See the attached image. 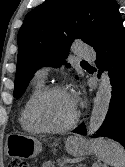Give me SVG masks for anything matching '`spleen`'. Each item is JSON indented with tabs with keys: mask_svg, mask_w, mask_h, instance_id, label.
Returning <instances> with one entry per match:
<instances>
[{
	"mask_svg": "<svg viewBox=\"0 0 125 167\" xmlns=\"http://www.w3.org/2000/svg\"><path fill=\"white\" fill-rule=\"evenodd\" d=\"M92 149L99 160L113 167H125V150L111 139H95Z\"/></svg>",
	"mask_w": 125,
	"mask_h": 167,
	"instance_id": "1",
	"label": "spleen"
}]
</instances>
